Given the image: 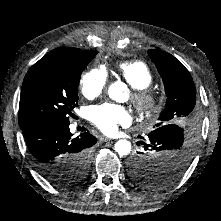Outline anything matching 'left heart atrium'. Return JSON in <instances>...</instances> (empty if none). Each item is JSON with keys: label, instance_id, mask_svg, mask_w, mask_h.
<instances>
[{"label": "left heart atrium", "instance_id": "39dd6f15", "mask_svg": "<svg viewBox=\"0 0 221 221\" xmlns=\"http://www.w3.org/2000/svg\"><path fill=\"white\" fill-rule=\"evenodd\" d=\"M90 121L104 133H113L120 125L130 122L128 110L119 105L105 103L89 110Z\"/></svg>", "mask_w": 221, "mask_h": 221}]
</instances>
